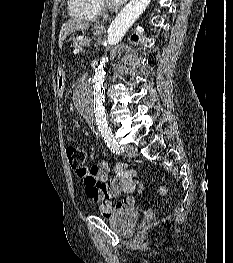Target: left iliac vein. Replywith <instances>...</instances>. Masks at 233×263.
<instances>
[{
	"instance_id": "4c4485c4",
	"label": "left iliac vein",
	"mask_w": 233,
	"mask_h": 263,
	"mask_svg": "<svg viewBox=\"0 0 233 263\" xmlns=\"http://www.w3.org/2000/svg\"><path fill=\"white\" fill-rule=\"evenodd\" d=\"M124 151L125 155L128 157H135L137 155V148L132 144L126 145Z\"/></svg>"
}]
</instances>
